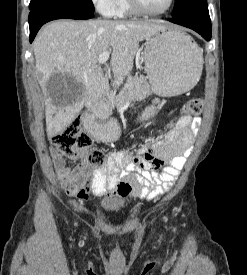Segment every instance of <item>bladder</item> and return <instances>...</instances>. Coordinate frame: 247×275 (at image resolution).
Wrapping results in <instances>:
<instances>
[{
    "mask_svg": "<svg viewBox=\"0 0 247 275\" xmlns=\"http://www.w3.org/2000/svg\"><path fill=\"white\" fill-rule=\"evenodd\" d=\"M105 213H116L118 211V207L116 205L110 204L106 205L102 209Z\"/></svg>",
    "mask_w": 247,
    "mask_h": 275,
    "instance_id": "1",
    "label": "bladder"
}]
</instances>
